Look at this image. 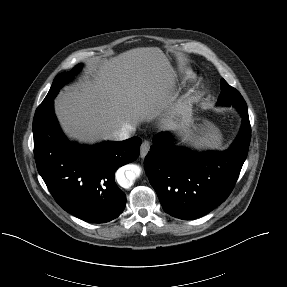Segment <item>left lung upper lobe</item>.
<instances>
[{
	"label": "left lung upper lobe",
	"mask_w": 287,
	"mask_h": 287,
	"mask_svg": "<svg viewBox=\"0 0 287 287\" xmlns=\"http://www.w3.org/2000/svg\"><path fill=\"white\" fill-rule=\"evenodd\" d=\"M217 103L226 106L233 105L235 108L246 105L242 95L235 88L231 87L224 79H221V94Z\"/></svg>",
	"instance_id": "obj_1"
}]
</instances>
